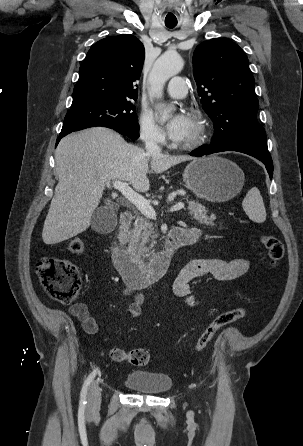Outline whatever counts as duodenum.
Returning <instances> with one entry per match:
<instances>
[{
  "label": "duodenum",
  "mask_w": 303,
  "mask_h": 446,
  "mask_svg": "<svg viewBox=\"0 0 303 446\" xmlns=\"http://www.w3.org/2000/svg\"><path fill=\"white\" fill-rule=\"evenodd\" d=\"M132 218L133 215L130 211L121 213V231L128 228ZM191 243H193V238L183 228L176 227L168 232L162 248L150 259L143 260L131 255L119 243H115L113 246L112 259L129 288H143L163 276L167 272L176 251Z\"/></svg>",
  "instance_id": "duodenum-1"
}]
</instances>
